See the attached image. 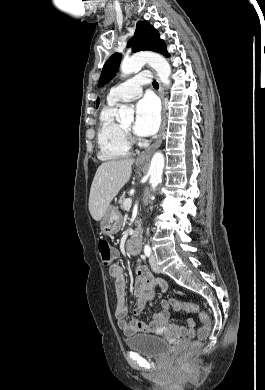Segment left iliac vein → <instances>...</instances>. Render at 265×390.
<instances>
[{"label": "left iliac vein", "mask_w": 265, "mask_h": 390, "mask_svg": "<svg viewBox=\"0 0 265 390\" xmlns=\"http://www.w3.org/2000/svg\"><path fill=\"white\" fill-rule=\"evenodd\" d=\"M150 266L152 270L156 273H160V268L157 264L156 257L154 255H151L149 258Z\"/></svg>", "instance_id": "left-iliac-vein-1"}]
</instances>
